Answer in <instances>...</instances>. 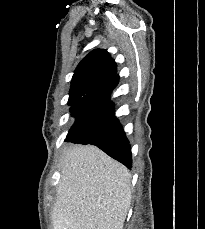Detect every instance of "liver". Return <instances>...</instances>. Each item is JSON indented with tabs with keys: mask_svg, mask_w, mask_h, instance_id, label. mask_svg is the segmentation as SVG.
Returning a JSON list of instances; mask_svg holds the SVG:
<instances>
[{
	"mask_svg": "<svg viewBox=\"0 0 205 229\" xmlns=\"http://www.w3.org/2000/svg\"><path fill=\"white\" fill-rule=\"evenodd\" d=\"M52 208L53 229H123L131 203V175L91 145L64 151Z\"/></svg>",
	"mask_w": 205,
	"mask_h": 229,
	"instance_id": "6515ba94",
	"label": "liver"
}]
</instances>
